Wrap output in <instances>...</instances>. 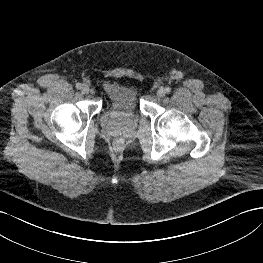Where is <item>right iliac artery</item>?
<instances>
[{
	"label": "right iliac artery",
	"instance_id": "right-iliac-artery-1",
	"mask_svg": "<svg viewBox=\"0 0 263 263\" xmlns=\"http://www.w3.org/2000/svg\"><path fill=\"white\" fill-rule=\"evenodd\" d=\"M81 87H82V85H81L80 83H77V84H76V88H77V89H81Z\"/></svg>",
	"mask_w": 263,
	"mask_h": 263
}]
</instances>
